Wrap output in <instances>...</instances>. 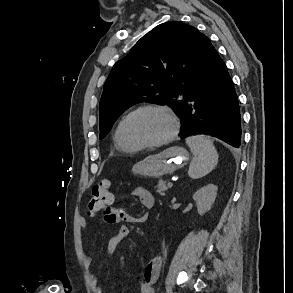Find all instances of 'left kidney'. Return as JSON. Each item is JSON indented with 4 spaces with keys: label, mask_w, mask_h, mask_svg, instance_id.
<instances>
[{
    "label": "left kidney",
    "mask_w": 293,
    "mask_h": 293,
    "mask_svg": "<svg viewBox=\"0 0 293 293\" xmlns=\"http://www.w3.org/2000/svg\"><path fill=\"white\" fill-rule=\"evenodd\" d=\"M218 187L214 184H208L201 187L193 194V199L196 202L199 215L208 212L217 196Z\"/></svg>",
    "instance_id": "5707ae66"
}]
</instances>
